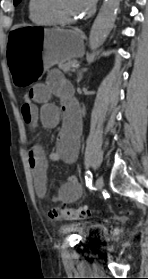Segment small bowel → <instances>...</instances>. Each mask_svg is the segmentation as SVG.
<instances>
[{"mask_svg":"<svg viewBox=\"0 0 148 279\" xmlns=\"http://www.w3.org/2000/svg\"><path fill=\"white\" fill-rule=\"evenodd\" d=\"M32 101L23 104L22 116L30 126L41 125L46 129L58 127L62 118L56 149L49 156L52 161L73 163L78 155L81 135V113L72 96V87L61 72L54 70L46 83H39L31 88ZM52 96L60 99L61 106L50 103ZM37 104L41 105L40 107ZM29 166L33 175L36 193L44 197L47 190V160L40 146H34L28 154ZM82 196V187L77 177L70 176L59 188L54 202L72 203Z\"/></svg>","mask_w":148,"mask_h":279,"instance_id":"obj_1","label":"small bowel"}]
</instances>
